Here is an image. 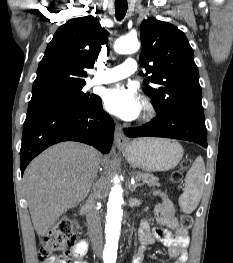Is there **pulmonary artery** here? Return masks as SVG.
<instances>
[{
  "instance_id": "1",
  "label": "pulmonary artery",
  "mask_w": 233,
  "mask_h": 263,
  "mask_svg": "<svg viewBox=\"0 0 233 263\" xmlns=\"http://www.w3.org/2000/svg\"><path fill=\"white\" fill-rule=\"evenodd\" d=\"M136 70L137 63L135 59L127 58L122 64L101 71L95 76L90 84L100 85L116 82L134 74Z\"/></svg>"
}]
</instances>
